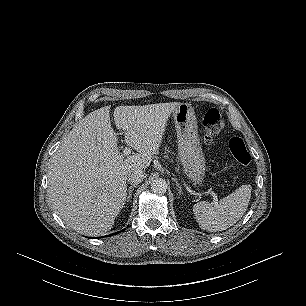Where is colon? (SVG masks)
<instances>
[{"label":"colon","instance_id":"5ec220e1","mask_svg":"<svg viewBox=\"0 0 306 306\" xmlns=\"http://www.w3.org/2000/svg\"><path fill=\"white\" fill-rule=\"evenodd\" d=\"M224 124V118L217 109H208L202 120L204 140L210 142L222 131ZM229 150L234 159L241 165H248L250 163V153L240 137H232L229 140Z\"/></svg>","mask_w":306,"mask_h":306}]
</instances>
